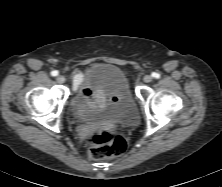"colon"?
I'll use <instances>...</instances> for the list:
<instances>
[{
    "instance_id": "1",
    "label": "colon",
    "mask_w": 222,
    "mask_h": 187,
    "mask_svg": "<svg viewBox=\"0 0 222 187\" xmlns=\"http://www.w3.org/2000/svg\"><path fill=\"white\" fill-rule=\"evenodd\" d=\"M85 140L89 146V157L94 160L120 155L128 147L127 140L123 135L108 131L89 132Z\"/></svg>"
}]
</instances>
